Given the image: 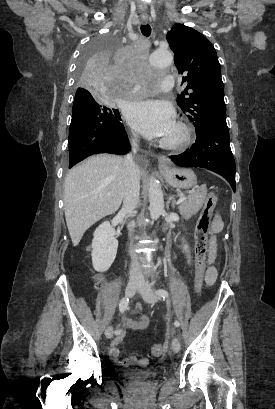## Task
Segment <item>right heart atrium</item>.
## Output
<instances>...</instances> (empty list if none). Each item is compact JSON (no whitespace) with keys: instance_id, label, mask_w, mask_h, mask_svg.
<instances>
[{"instance_id":"obj_1","label":"right heart atrium","mask_w":275,"mask_h":409,"mask_svg":"<svg viewBox=\"0 0 275 409\" xmlns=\"http://www.w3.org/2000/svg\"><path fill=\"white\" fill-rule=\"evenodd\" d=\"M132 135L135 136V132L132 130Z\"/></svg>"}]
</instances>
